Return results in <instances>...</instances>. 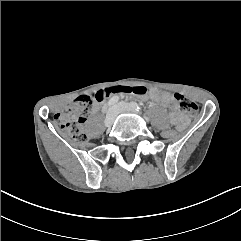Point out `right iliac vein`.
<instances>
[{
	"mask_svg": "<svg viewBox=\"0 0 241 241\" xmlns=\"http://www.w3.org/2000/svg\"><path fill=\"white\" fill-rule=\"evenodd\" d=\"M117 113H118V108L116 106H113L108 110L107 115L104 120L105 126H107V127L112 126V124L117 116Z\"/></svg>",
	"mask_w": 241,
	"mask_h": 241,
	"instance_id": "63e3f726",
	"label": "right iliac vein"
}]
</instances>
